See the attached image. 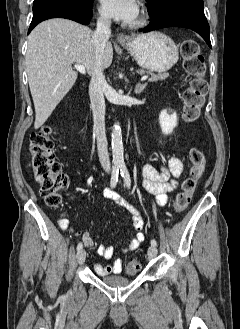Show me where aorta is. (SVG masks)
<instances>
[{
	"label": "aorta",
	"instance_id": "1",
	"mask_svg": "<svg viewBox=\"0 0 240 329\" xmlns=\"http://www.w3.org/2000/svg\"><path fill=\"white\" fill-rule=\"evenodd\" d=\"M111 139L113 163L116 166H122L124 164V147L122 142L121 127L119 124H114Z\"/></svg>",
	"mask_w": 240,
	"mask_h": 329
}]
</instances>
